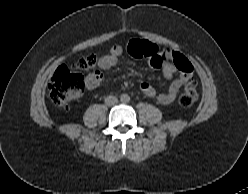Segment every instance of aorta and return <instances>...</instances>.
Wrapping results in <instances>:
<instances>
[{
    "label": "aorta",
    "mask_w": 248,
    "mask_h": 194,
    "mask_svg": "<svg viewBox=\"0 0 248 194\" xmlns=\"http://www.w3.org/2000/svg\"><path fill=\"white\" fill-rule=\"evenodd\" d=\"M120 100H121V102H123V103H127V102L130 101V96H129L128 94H122V95L120 96Z\"/></svg>",
    "instance_id": "1"
}]
</instances>
